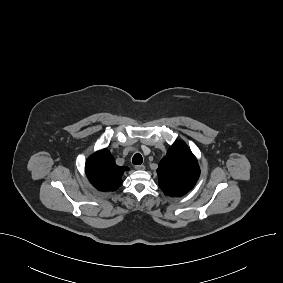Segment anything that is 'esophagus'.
I'll return each mask as SVG.
<instances>
[{
    "instance_id": "esophagus-1",
    "label": "esophagus",
    "mask_w": 283,
    "mask_h": 283,
    "mask_svg": "<svg viewBox=\"0 0 283 283\" xmlns=\"http://www.w3.org/2000/svg\"><path fill=\"white\" fill-rule=\"evenodd\" d=\"M136 170H144L145 166L144 165H135Z\"/></svg>"
}]
</instances>
